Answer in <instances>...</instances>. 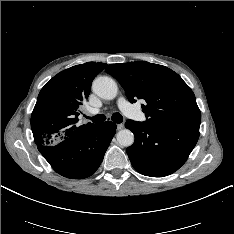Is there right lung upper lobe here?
<instances>
[{"label": "right lung upper lobe", "instance_id": "obj_1", "mask_svg": "<svg viewBox=\"0 0 234 234\" xmlns=\"http://www.w3.org/2000/svg\"><path fill=\"white\" fill-rule=\"evenodd\" d=\"M107 64L87 62L61 71L40 91L31 115L37 145H51L91 126L78 124L79 107L88 98L94 77Z\"/></svg>", "mask_w": 234, "mask_h": 234}]
</instances>
